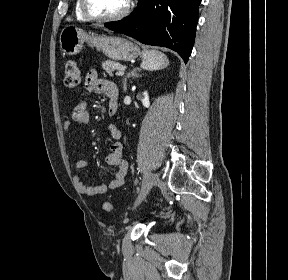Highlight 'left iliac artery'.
I'll list each match as a JSON object with an SVG mask.
<instances>
[{
	"label": "left iliac artery",
	"mask_w": 288,
	"mask_h": 280,
	"mask_svg": "<svg viewBox=\"0 0 288 280\" xmlns=\"http://www.w3.org/2000/svg\"><path fill=\"white\" fill-rule=\"evenodd\" d=\"M145 186V183L143 182L142 179H139L138 180V184H135V187H134V195L135 196H138L139 195V192H141V189L142 187Z\"/></svg>",
	"instance_id": "44dca946"
}]
</instances>
